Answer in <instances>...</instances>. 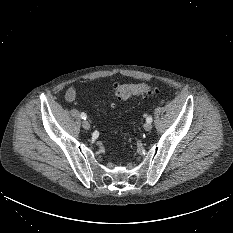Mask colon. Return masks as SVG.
I'll return each instance as SVG.
<instances>
[{
    "label": "colon",
    "instance_id": "5ec220e1",
    "mask_svg": "<svg viewBox=\"0 0 233 233\" xmlns=\"http://www.w3.org/2000/svg\"><path fill=\"white\" fill-rule=\"evenodd\" d=\"M156 92V88L146 83L118 84L114 88L117 101H125L134 95L146 96Z\"/></svg>",
    "mask_w": 233,
    "mask_h": 233
}]
</instances>
